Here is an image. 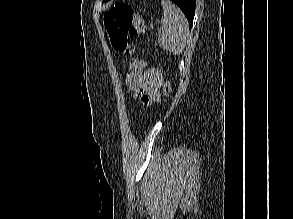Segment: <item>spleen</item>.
<instances>
[{
    "label": "spleen",
    "mask_w": 293,
    "mask_h": 219,
    "mask_svg": "<svg viewBox=\"0 0 293 219\" xmlns=\"http://www.w3.org/2000/svg\"><path fill=\"white\" fill-rule=\"evenodd\" d=\"M162 28L158 36L161 48L172 53L180 54L188 39V22L182 11L169 0H162Z\"/></svg>",
    "instance_id": "obj_1"
}]
</instances>
